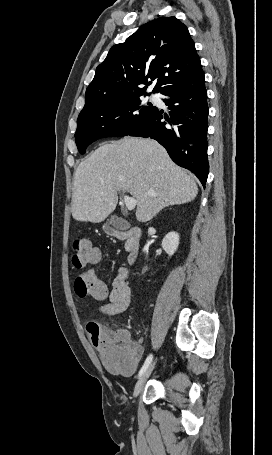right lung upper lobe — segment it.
Returning a JSON list of instances; mask_svg holds the SVG:
<instances>
[{"mask_svg": "<svg viewBox=\"0 0 272 455\" xmlns=\"http://www.w3.org/2000/svg\"><path fill=\"white\" fill-rule=\"evenodd\" d=\"M202 72L187 27L175 17L141 26L124 43L114 45L86 89L81 113L139 94L158 78L153 93Z\"/></svg>", "mask_w": 272, "mask_h": 455, "instance_id": "obj_1", "label": "right lung upper lobe"}]
</instances>
